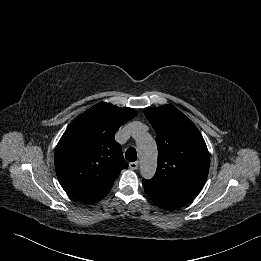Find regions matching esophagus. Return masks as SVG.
<instances>
[{"mask_svg": "<svg viewBox=\"0 0 261 261\" xmlns=\"http://www.w3.org/2000/svg\"><path fill=\"white\" fill-rule=\"evenodd\" d=\"M138 162L136 161V162H130L129 163V168L131 169V170H136L137 168H138Z\"/></svg>", "mask_w": 261, "mask_h": 261, "instance_id": "obj_1", "label": "esophagus"}]
</instances>
